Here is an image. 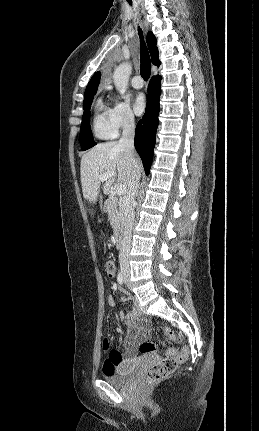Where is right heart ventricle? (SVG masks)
Returning <instances> with one entry per match:
<instances>
[{
  "instance_id": "obj_1",
  "label": "right heart ventricle",
  "mask_w": 259,
  "mask_h": 431,
  "mask_svg": "<svg viewBox=\"0 0 259 431\" xmlns=\"http://www.w3.org/2000/svg\"><path fill=\"white\" fill-rule=\"evenodd\" d=\"M108 110L101 99H98L94 106V114L92 119V129L94 135L99 139H111L116 136V132L112 128Z\"/></svg>"
}]
</instances>
